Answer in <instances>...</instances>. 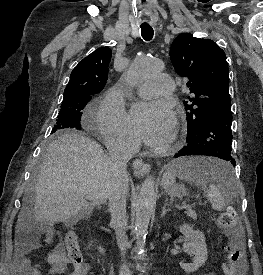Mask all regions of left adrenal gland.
I'll list each match as a JSON object with an SVG mask.
<instances>
[{
    "mask_svg": "<svg viewBox=\"0 0 263 275\" xmlns=\"http://www.w3.org/2000/svg\"><path fill=\"white\" fill-rule=\"evenodd\" d=\"M169 206L167 202H165L163 208H162V214L161 217H164L168 211H170V208L166 209V207Z\"/></svg>",
    "mask_w": 263,
    "mask_h": 275,
    "instance_id": "a2214340",
    "label": "left adrenal gland"
}]
</instances>
